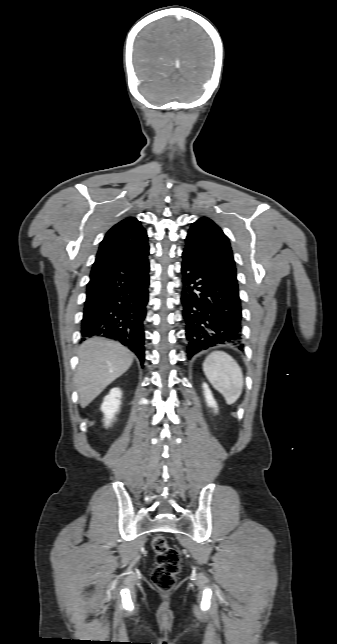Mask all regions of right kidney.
I'll return each mask as SVG.
<instances>
[{
	"label": "right kidney",
	"mask_w": 337,
	"mask_h": 644,
	"mask_svg": "<svg viewBox=\"0 0 337 644\" xmlns=\"http://www.w3.org/2000/svg\"><path fill=\"white\" fill-rule=\"evenodd\" d=\"M122 392L119 388H113L110 393L104 398L101 405V411L104 413L105 425H110L115 414L119 411L121 405Z\"/></svg>",
	"instance_id": "ca27d5eb"
}]
</instances>
